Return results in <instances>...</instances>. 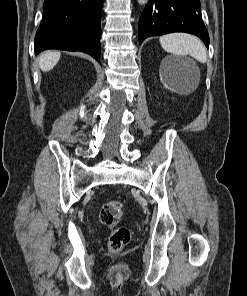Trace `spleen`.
I'll list each match as a JSON object with an SVG mask.
<instances>
[{
    "label": "spleen",
    "instance_id": "1",
    "mask_svg": "<svg viewBox=\"0 0 247 296\" xmlns=\"http://www.w3.org/2000/svg\"><path fill=\"white\" fill-rule=\"evenodd\" d=\"M162 48L177 56L190 55L197 61H207L206 48L197 37L186 33H171L160 37Z\"/></svg>",
    "mask_w": 247,
    "mask_h": 296
}]
</instances>
